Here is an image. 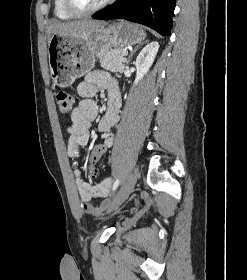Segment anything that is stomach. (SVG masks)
<instances>
[{"instance_id": "stomach-1", "label": "stomach", "mask_w": 247, "mask_h": 280, "mask_svg": "<svg viewBox=\"0 0 247 280\" xmlns=\"http://www.w3.org/2000/svg\"><path fill=\"white\" fill-rule=\"evenodd\" d=\"M144 30L127 21L99 27L85 35H51L49 66L53 82L59 87L70 86L90 71L96 58L113 47H125L142 42Z\"/></svg>"}]
</instances>
